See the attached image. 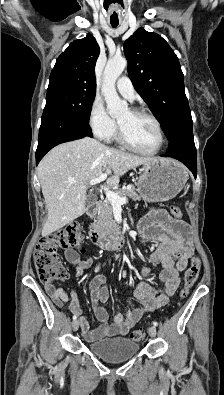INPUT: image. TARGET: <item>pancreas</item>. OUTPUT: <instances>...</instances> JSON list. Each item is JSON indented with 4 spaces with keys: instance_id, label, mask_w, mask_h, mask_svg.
I'll return each mask as SVG.
<instances>
[{
    "instance_id": "1",
    "label": "pancreas",
    "mask_w": 224,
    "mask_h": 395,
    "mask_svg": "<svg viewBox=\"0 0 224 395\" xmlns=\"http://www.w3.org/2000/svg\"><path fill=\"white\" fill-rule=\"evenodd\" d=\"M115 193L120 197L129 198L133 201L141 199L133 185H131L130 188L123 187L118 189L115 191ZM103 227H116V224L113 220V206L108 199L98 203L96 208V218L94 224H92V228L95 230H103Z\"/></svg>"
}]
</instances>
